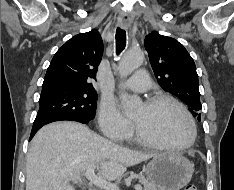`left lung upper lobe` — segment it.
I'll list each match as a JSON object with an SVG mask.
<instances>
[{
	"mask_svg": "<svg viewBox=\"0 0 234 190\" xmlns=\"http://www.w3.org/2000/svg\"><path fill=\"white\" fill-rule=\"evenodd\" d=\"M144 45L159 84L181 99L200 121L198 75L190 54L177 40L158 32L147 35Z\"/></svg>",
	"mask_w": 234,
	"mask_h": 190,
	"instance_id": "left-lung-upper-lobe-1",
	"label": "left lung upper lobe"
}]
</instances>
